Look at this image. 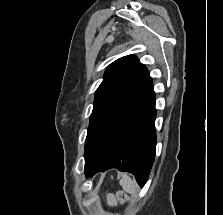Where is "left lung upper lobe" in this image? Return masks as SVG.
Wrapping results in <instances>:
<instances>
[{
    "label": "left lung upper lobe",
    "instance_id": "left-lung-upper-lobe-1",
    "mask_svg": "<svg viewBox=\"0 0 223 215\" xmlns=\"http://www.w3.org/2000/svg\"><path fill=\"white\" fill-rule=\"evenodd\" d=\"M153 82L147 68L134 55L109 65L95 93L85 141V164L121 118L147 93Z\"/></svg>",
    "mask_w": 223,
    "mask_h": 215
}]
</instances>
